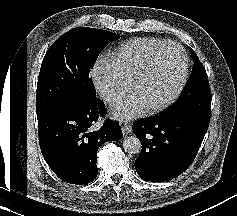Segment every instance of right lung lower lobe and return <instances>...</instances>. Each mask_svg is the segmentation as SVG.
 I'll return each instance as SVG.
<instances>
[{"label":"right lung lower lobe","instance_id":"1","mask_svg":"<svg viewBox=\"0 0 237 216\" xmlns=\"http://www.w3.org/2000/svg\"><path fill=\"white\" fill-rule=\"evenodd\" d=\"M105 114L104 103L95 97L70 101L37 116L42 154L62 181L76 185L92 182L98 173V148L123 137L118 123L111 120L94 131L92 126Z\"/></svg>","mask_w":237,"mask_h":216}]
</instances>
